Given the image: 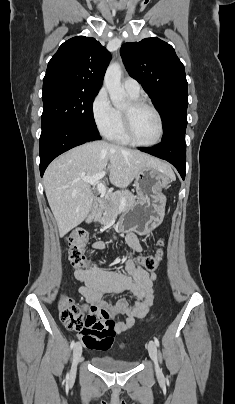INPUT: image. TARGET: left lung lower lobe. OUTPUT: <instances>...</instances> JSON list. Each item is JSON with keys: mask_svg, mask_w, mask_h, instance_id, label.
<instances>
[{"mask_svg": "<svg viewBox=\"0 0 235 404\" xmlns=\"http://www.w3.org/2000/svg\"><path fill=\"white\" fill-rule=\"evenodd\" d=\"M141 151L164 159L176 167L185 179L186 148L184 136L169 138L153 148H140Z\"/></svg>", "mask_w": 235, "mask_h": 404, "instance_id": "1", "label": "left lung lower lobe"}]
</instances>
